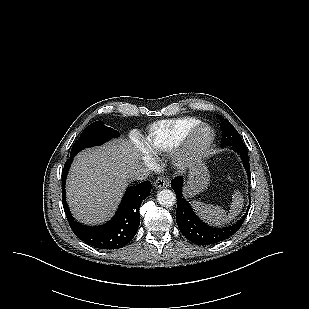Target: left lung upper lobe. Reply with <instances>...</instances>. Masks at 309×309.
<instances>
[{"label":"left lung upper lobe","instance_id":"1","mask_svg":"<svg viewBox=\"0 0 309 309\" xmlns=\"http://www.w3.org/2000/svg\"><path fill=\"white\" fill-rule=\"evenodd\" d=\"M222 146H229L233 144L243 143L239 133L228 121L224 120L222 123Z\"/></svg>","mask_w":309,"mask_h":309}]
</instances>
